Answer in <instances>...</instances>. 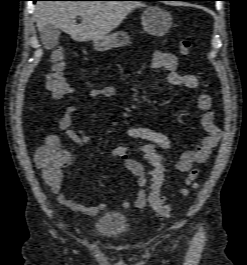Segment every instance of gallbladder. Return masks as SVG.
Here are the masks:
<instances>
[{
  "label": "gallbladder",
  "mask_w": 247,
  "mask_h": 265,
  "mask_svg": "<svg viewBox=\"0 0 247 265\" xmlns=\"http://www.w3.org/2000/svg\"><path fill=\"white\" fill-rule=\"evenodd\" d=\"M60 37V30L54 25L47 24L40 31L41 42L46 49H53Z\"/></svg>",
  "instance_id": "bac80fb5"
}]
</instances>
